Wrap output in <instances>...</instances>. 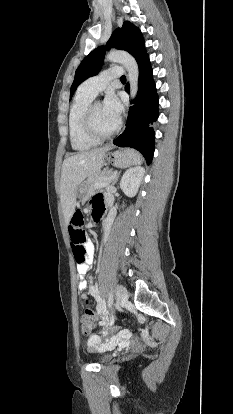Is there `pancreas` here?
<instances>
[{
  "label": "pancreas",
  "instance_id": "pancreas-1",
  "mask_svg": "<svg viewBox=\"0 0 233 414\" xmlns=\"http://www.w3.org/2000/svg\"><path fill=\"white\" fill-rule=\"evenodd\" d=\"M114 174L115 172L113 170L98 171L96 173L91 174L86 181L88 192L90 193V195L97 189L105 187L101 186L99 188H96L95 185L97 183L103 184L107 182V179H110Z\"/></svg>",
  "mask_w": 233,
  "mask_h": 414
}]
</instances>
